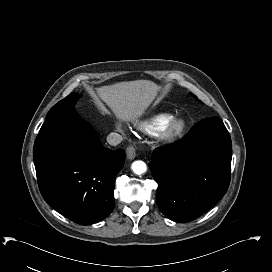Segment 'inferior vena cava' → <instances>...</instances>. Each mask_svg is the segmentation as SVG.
<instances>
[{
  "mask_svg": "<svg viewBox=\"0 0 272 272\" xmlns=\"http://www.w3.org/2000/svg\"><path fill=\"white\" fill-rule=\"evenodd\" d=\"M122 140H123V137L118 133H110L107 136V142L112 146L118 145L119 143L122 142Z\"/></svg>",
  "mask_w": 272,
  "mask_h": 272,
  "instance_id": "1",
  "label": "inferior vena cava"
}]
</instances>
